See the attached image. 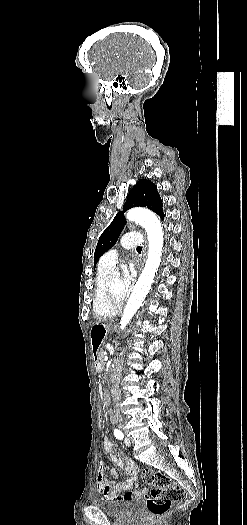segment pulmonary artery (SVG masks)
<instances>
[{"instance_id":"1","label":"pulmonary artery","mask_w":247,"mask_h":525,"mask_svg":"<svg viewBox=\"0 0 247 525\" xmlns=\"http://www.w3.org/2000/svg\"><path fill=\"white\" fill-rule=\"evenodd\" d=\"M143 241L144 239L142 236H133V231H130L120 237L119 244L124 249H131L141 245ZM105 256L106 265L113 263L117 258V247L108 250Z\"/></svg>"}]
</instances>
